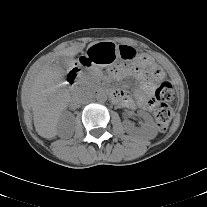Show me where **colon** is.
<instances>
[{
  "mask_svg": "<svg viewBox=\"0 0 207 207\" xmlns=\"http://www.w3.org/2000/svg\"><path fill=\"white\" fill-rule=\"evenodd\" d=\"M147 70L152 75H159L161 73V66L156 61H149L147 63ZM175 96L174 86L171 81L163 80L156 89L155 100L159 103L155 109V119L157 126L161 132H165L172 119V110L166 104Z\"/></svg>",
  "mask_w": 207,
  "mask_h": 207,
  "instance_id": "5ec220e1",
  "label": "colon"
}]
</instances>
